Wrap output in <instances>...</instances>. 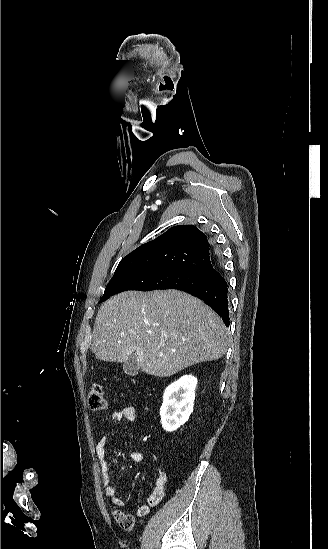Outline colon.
<instances>
[{
    "label": "colon",
    "instance_id": "5ec220e1",
    "mask_svg": "<svg viewBox=\"0 0 328 549\" xmlns=\"http://www.w3.org/2000/svg\"><path fill=\"white\" fill-rule=\"evenodd\" d=\"M107 401L102 386L94 385L88 395V406L91 410L99 411L106 408ZM115 521L125 530L131 531L135 528V518L132 514L122 512L118 509L112 511Z\"/></svg>",
    "mask_w": 328,
    "mask_h": 549
}]
</instances>
